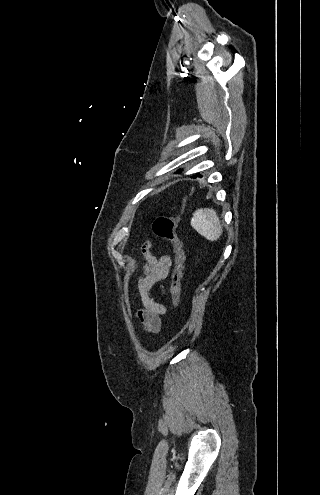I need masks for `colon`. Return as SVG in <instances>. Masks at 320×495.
Wrapping results in <instances>:
<instances>
[{
	"instance_id": "obj_1",
	"label": "colon",
	"mask_w": 320,
	"mask_h": 495,
	"mask_svg": "<svg viewBox=\"0 0 320 495\" xmlns=\"http://www.w3.org/2000/svg\"><path fill=\"white\" fill-rule=\"evenodd\" d=\"M183 208L176 215H159L152 224L155 235L166 240L174 252V270L171 279V294L175 307L179 305L181 294V278L184 270L185 253L181 239L177 234V227L182 218Z\"/></svg>"
}]
</instances>
